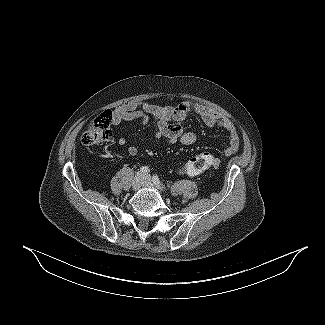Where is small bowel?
Here are the masks:
<instances>
[{
    "instance_id": "small-bowel-1",
    "label": "small bowel",
    "mask_w": 325,
    "mask_h": 325,
    "mask_svg": "<svg viewBox=\"0 0 325 325\" xmlns=\"http://www.w3.org/2000/svg\"><path fill=\"white\" fill-rule=\"evenodd\" d=\"M190 113L197 114L208 126L222 128L229 134V146L225 150L226 154L237 151L240 139L233 123L212 109L191 102H182L176 106L156 105L147 102L128 103L114 111L113 125L119 126L123 121L133 120H139L142 125H146L153 119L157 123L156 137L165 139L169 144L192 145L196 143L197 135L186 131L182 125ZM118 144L126 147L127 153L131 156L138 153L137 147L128 145L125 138H119ZM190 164L191 161L189 160L182 168L188 170ZM216 164L217 161L214 159L213 165ZM187 175L195 176L193 174Z\"/></svg>"
}]
</instances>
